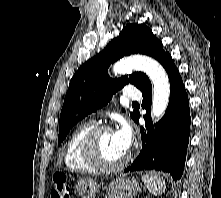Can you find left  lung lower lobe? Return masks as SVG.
<instances>
[{
  "label": "left lung lower lobe",
  "mask_w": 221,
  "mask_h": 198,
  "mask_svg": "<svg viewBox=\"0 0 221 198\" xmlns=\"http://www.w3.org/2000/svg\"><path fill=\"white\" fill-rule=\"evenodd\" d=\"M162 66L168 73L171 87L167 110L154 127L149 114L152 99L151 82L140 89L143 95L142 107L147 110L144 116L145 129L140 128L142 150L124 172L158 170L169 173L176 181L181 178L185 164L190 110L185 87L170 54L164 58ZM139 117L138 113L134 120L136 123Z\"/></svg>",
  "instance_id": "obj_1"
}]
</instances>
